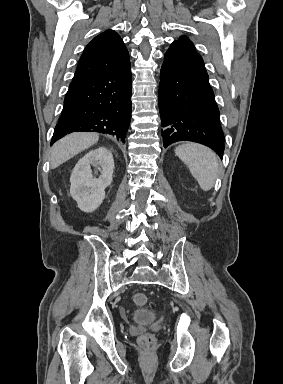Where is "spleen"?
<instances>
[{"mask_svg": "<svg viewBox=\"0 0 283 384\" xmlns=\"http://www.w3.org/2000/svg\"><path fill=\"white\" fill-rule=\"evenodd\" d=\"M175 154L186 164L204 192L213 188L219 170L217 156L213 150L200 144H183L176 148Z\"/></svg>", "mask_w": 283, "mask_h": 384, "instance_id": "3e777b00", "label": "spleen"}]
</instances>
